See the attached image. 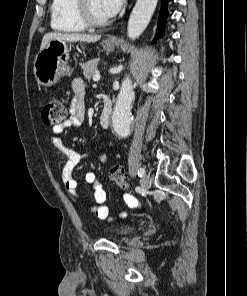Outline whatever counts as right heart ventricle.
Here are the masks:
<instances>
[{"label": "right heart ventricle", "mask_w": 247, "mask_h": 296, "mask_svg": "<svg viewBox=\"0 0 247 296\" xmlns=\"http://www.w3.org/2000/svg\"><path fill=\"white\" fill-rule=\"evenodd\" d=\"M76 0H52L50 26L60 33H78L85 30L75 15Z\"/></svg>", "instance_id": "1"}]
</instances>
